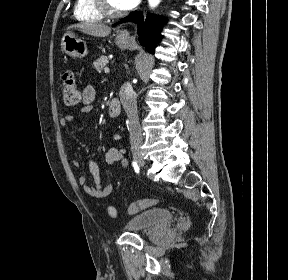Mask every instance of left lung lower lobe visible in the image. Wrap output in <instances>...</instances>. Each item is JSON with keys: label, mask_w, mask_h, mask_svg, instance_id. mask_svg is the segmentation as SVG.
Instances as JSON below:
<instances>
[{"label": "left lung lower lobe", "mask_w": 288, "mask_h": 280, "mask_svg": "<svg viewBox=\"0 0 288 280\" xmlns=\"http://www.w3.org/2000/svg\"><path fill=\"white\" fill-rule=\"evenodd\" d=\"M133 21L138 24L139 42L146 46V50L153 54L156 44L160 42L162 36L160 34L162 20L160 17L148 14L144 22L143 16L139 12H134L128 17L124 18L120 23Z\"/></svg>", "instance_id": "1"}]
</instances>
